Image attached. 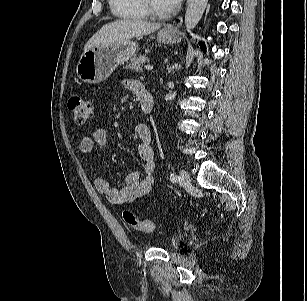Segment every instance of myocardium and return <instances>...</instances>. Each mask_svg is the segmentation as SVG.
I'll return each instance as SVG.
<instances>
[{
  "label": "myocardium",
  "mask_w": 307,
  "mask_h": 301,
  "mask_svg": "<svg viewBox=\"0 0 307 301\" xmlns=\"http://www.w3.org/2000/svg\"><path fill=\"white\" fill-rule=\"evenodd\" d=\"M142 8L145 10L146 14L151 17L162 18L170 15V10L166 12L157 11L152 7L149 0H139Z\"/></svg>",
  "instance_id": "f54148a6"
}]
</instances>
